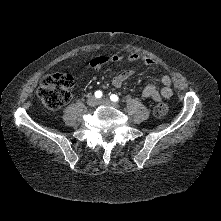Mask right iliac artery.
I'll return each instance as SVG.
<instances>
[{
  "label": "right iliac artery",
  "instance_id": "right-iliac-artery-1",
  "mask_svg": "<svg viewBox=\"0 0 221 221\" xmlns=\"http://www.w3.org/2000/svg\"><path fill=\"white\" fill-rule=\"evenodd\" d=\"M102 95H103V94H102V92H101L100 90L96 91L95 94H94V96H95L96 98H98V99L101 98Z\"/></svg>",
  "mask_w": 221,
  "mask_h": 221
}]
</instances>
